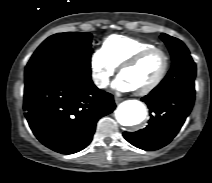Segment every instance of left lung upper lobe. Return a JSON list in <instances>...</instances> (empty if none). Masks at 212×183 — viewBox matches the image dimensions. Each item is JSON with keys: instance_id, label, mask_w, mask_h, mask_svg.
Segmentation results:
<instances>
[{"instance_id": "5c2ea615", "label": "left lung upper lobe", "mask_w": 212, "mask_h": 183, "mask_svg": "<svg viewBox=\"0 0 212 183\" xmlns=\"http://www.w3.org/2000/svg\"><path fill=\"white\" fill-rule=\"evenodd\" d=\"M161 39L165 42L171 53L173 64L179 59L190 55L189 50L181 40L164 33L161 35Z\"/></svg>"}]
</instances>
